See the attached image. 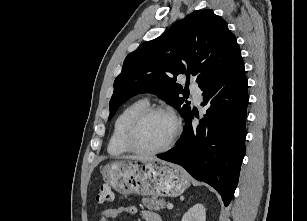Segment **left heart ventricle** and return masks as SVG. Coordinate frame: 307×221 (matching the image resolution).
<instances>
[{
  "label": "left heart ventricle",
  "instance_id": "b2bd125f",
  "mask_svg": "<svg viewBox=\"0 0 307 221\" xmlns=\"http://www.w3.org/2000/svg\"><path fill=\"white\" fill-rule=\"evenodd\" d=\"M174 131L172 118L163 114L146 117L135 134V143L143 149H156L163 146Z\"/></svg>",
  "mask_w": 307,
  "mask_h": 221
}]
</instances>
